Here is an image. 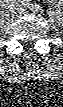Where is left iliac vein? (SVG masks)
<instances>
[{
  "label": "left iliac vein",
  "mask_w": 63,
  "mask_h": 107,
  "mask_svg": "<svg viewBox=\"0 0 63 107\" xmlns=\"http://www.w3.org/2000/svg\"><path fill=\"white\" fill-rule=\"evenodd\" d=\"M18 10H19L20 12H23V11H24V9H22V8H19Z\"/></svg>",
  "instance_id": "4c4485c4"
}]
</instances>
